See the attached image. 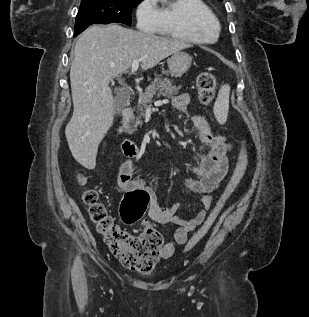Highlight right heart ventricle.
Returning a JSON list of instances; mask_svg holds the SVG:
<instances>
[{
    "label": "right heart ventricle",
    "instance_id": "1",
    "mask_svg": "<svg viewBox=\"0 0 309 317\" xmlns=\"http://www.w3.org/2000/svg\"><path fill=\"white\" fill-rule=\"evenodd\" d=\"M159 1L158 34L195 44H210L218 39L219 20L204 0Z\"/></svg>",
    "mask_w": 309,
    "mask_h": 317
}]
</instances>
